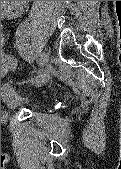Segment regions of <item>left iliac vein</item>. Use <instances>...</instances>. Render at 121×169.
<instances>
[{
	"mask_svg": "<svg viewBox=\"0 0 121 169\" xmlns=\"http://www.w3.org/2000/svg\"><path fill=\"white\" fill-rule=\"evenodd\" d=\"M49 62V54L46 51L41 52L40 54V63H42V65H44L45 67L48 65ZM50 77V71L48 68H45L42 72V74H40L34 81L33 83L36 84L37 86H42L44 84H46L49 80Z\"/></svg>",
	"mask_w": 121,
	"mask_h": 169,
	"instance_id": "4c4485c4",
	"label": "left iliac vein"
}]
</instances>
